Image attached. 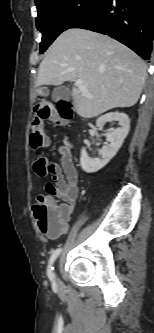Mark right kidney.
<instances>
[{"label": "right kidney", "instance_id": "right-kidney-1", "mask_svg": "<svg viewBox=\"0 0 154 333\" xmlns=\"http://www.w3.org/2000/svg\"><path fill=\"white\" fill-rule=\"evenodd\" d=\"M118 121L120 128L114 129L106 135L109 144L100 150V158H91L88 156L86 149L82 148L80 156V165L87 173H94L106 166L109 161L117 154L121 148L124 139L130 130V120L125 113L110 112L99 117L96 121L97 127H103L106 122Z\"/></svg>", "mask_w": 154, "mask_h": 333}]
</instances>
